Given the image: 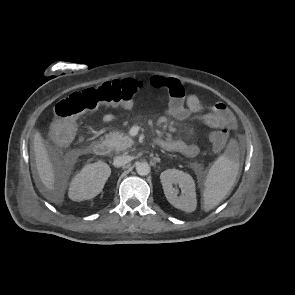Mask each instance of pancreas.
<instances>
[{
  "label": "pancreas",
  "mask_w": 295,
  "mask_h": 295,
  "mask_svg": "<svg viewBox=\"0 0 295 295\" xmlns=\"http://www.w3.org/2000/svg\"><path fill=\"white\" fill-rule=\"evenodd\" d=\"M105 141L117 152L124 151L134 144V141L129 136L117 131L105 135Z\"/></svg>",
  "instance_id": "pancreas-1"
}]
</instances>
